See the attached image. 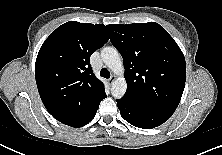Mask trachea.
<instances>
[{"label":"trachea","instance_id":"1","mask_svg":"<svg viewBox=\"0 0 222 155\" xmlns=\"http://www.w3.org/2000/svg\"><path fill=\"white\" fill-rule=\"evenodd\" d=\"M100 75L104 78H110V72L105 68L101 69Z\"/></svg>","mask_w":222,"mask_h":155}]
</instances>
